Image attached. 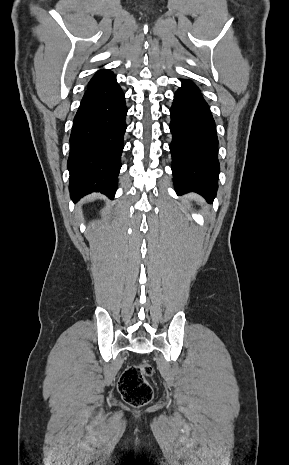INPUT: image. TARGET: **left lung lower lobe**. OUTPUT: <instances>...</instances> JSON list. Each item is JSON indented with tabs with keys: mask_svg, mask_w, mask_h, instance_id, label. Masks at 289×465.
<instances>
[{
	"mask_svg": "<svg viewBox=\"0 0 289 465\" xmlns=\"http://www.w3.org/2000/svg\"><path fill=\"white\" fill-rule=\"evenodd\" d=\"M170 151L176 192L213 202L218 188V139L210 109L194 83L184 81L170 109Z\"/></svg>",
	"mask_w": 289,
	"mask_h": 465,
	"instance_id": "left-lung-lower-lobe-1",
	"label": "left lung lower lobe"
}]
</instances>
